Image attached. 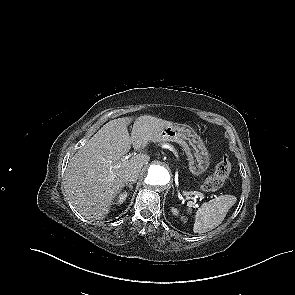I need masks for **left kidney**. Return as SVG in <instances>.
Listing matches in <instances>:
<instances>
[{
	"label": "left kidney",
	"mask_w": 295,
	"mask_h": 295,
	"mask_svg": "<svg viewBox=\"0 0 295 295\" xmlns=\"http://www.w3.org/2000/svg\"><path fill=\"white\" fill-rule=\"evenodd\" d=\"M171 211L174 215H178V210L176 208H171Z\"/></svg>",
	"instance_id": "1"
}]
</instances>
